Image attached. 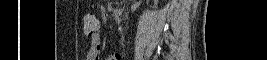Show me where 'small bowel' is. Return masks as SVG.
Masks as SVG:
<instances>
[{
	"label": "small bowel",
	"instance_id": "1",
	"mask_svg": "<svg viewBox=\"0 0 267 60\" xmlns=\"http://www.w3.org/2000/svg\"><path fill=\"white\" fill-rule=\"evenodd\" d=\"M101 52V38L99 33L91 35V45L86 54V60H98ZM122 56L119 52H113L106 60H121Z\"/></svg>",
	"mask_w": 267,
	"mask_h": 60
}]
</instances>
